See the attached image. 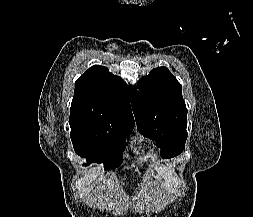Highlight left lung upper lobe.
<instances>
[{
    "label": "left lung upper lobe",
    "mask_w": 253,
    "mask_h": 217,
    "mask_svg": "<svg viewBox=\"0 0 253 217\" xmlns=\"http://www.w3.org/2000/svg\"><path fill=\"white\" fill-rule=\"evenodd\" d=\"M131 87L138 130L162 147L163 158L179 155L187 139V109L182 86L166 67L152 69Z\"/></svg>",
    "instance_id": "5c2ea615"
}]
</instances>
